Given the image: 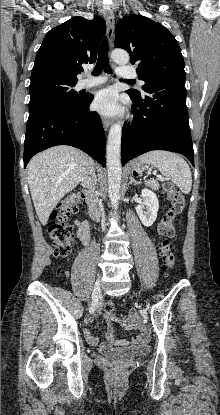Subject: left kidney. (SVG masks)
Here are the masks:
<instances>
[{
    "label": "left kidney",
    "instance_id": "1",
    "mask_svg": "<svg viewBox=\"0 0 220 415\" xmlns=\"http://www.w3.org/2000/svg\"><path fill=\"white\" fill-rule=\"evenodd\" d=\"M143 203L136 207V212L144 226L150 227L157 218L159 202L156 194L148 189L142 190Z\"/></svg>",
    "mask_w": 220,
    "mask_h": 415
}]
</instances>
